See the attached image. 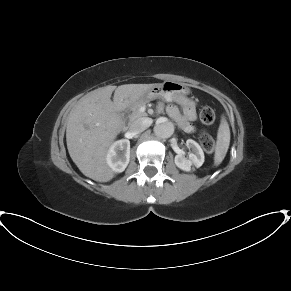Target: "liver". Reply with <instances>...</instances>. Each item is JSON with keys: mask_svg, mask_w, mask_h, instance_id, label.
<instances>
[{"mask_svg": "<svg viewBox=\"0 0 291 291\" xmlns=\"http://www.w3.org/2000/svg\"><path fill=\"white\" fill-rule=\"evenodd\" d=\"M153 86L101 87L82 97L70 111L66 128L67 148L71 159L85 176L98 182L114 178L106 155L122 129L123 122L117 111L143 99Z\"/></svg>", "mask_w": 291, "mask_h": 291, "instance_id": "obj_1", "label": "liver"}]
</instances>
